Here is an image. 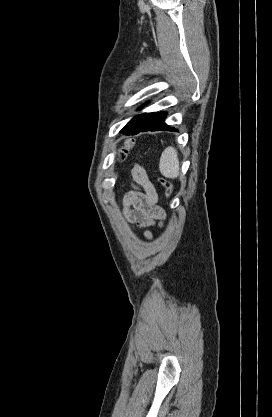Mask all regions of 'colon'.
<instances>
[{
    "label": "colon",
    "mask_w": 272,
    "mask_h": 417,
    "mask_svg": "<svg viewBox=\"0 0 272 417\" xmlns=\"http://www.w3.org/2000/svg\"><path fill=\"white\" fill-rule=\"evenodd\" d=\"M130 147H131V142L130 141L126 142L124 147L119 151V154H118L119 158H125ZM161 183L163 187L165 188L167 196H169L172 192V184L165 180H161Z\"/></svg>",
    "instance_id": "1"
}]
</instances>
